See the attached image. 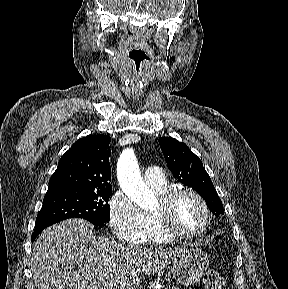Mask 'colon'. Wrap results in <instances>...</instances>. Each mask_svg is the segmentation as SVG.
Returning a JSON list of instances; mask_svg holds the SVG:
<instances>
[{
    "mask_svg": "<svg viewBox=\"0 0 288 289\" xmlns=\"http://www.w3.org/2000/svg\"><path fill=\"white\" fill-rule=\"evenodd\" d=\"M206 289H226V282L223 277L214 269H209L204 274Z\"/></svg>",
    "mask_w": 288,
    "mask_h": 289,
    "instance_id": "5ec220e1",
    "label": "colon"
}]
</instances>
